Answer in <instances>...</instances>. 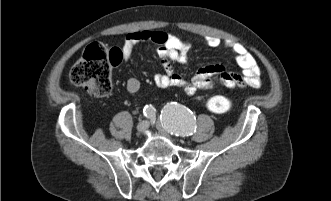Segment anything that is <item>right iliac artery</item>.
I'll list each match as a JSON object with an SVG mask.
<instances>
[{
	"mask_svg": "<svg viewBox=\"0 0 331 201\" xmlns=\"http://www.w3.org/2000/svg\"><path fill=\"white\" fill-rule=\"evenodd\" d=\"M143 112L148 119H154L156 116V109L152 105H146Z\"/></svg>",
	"mask_w": 331,
	"mask_h": 201,
	"instance_id": "obj_1",
	"label": "right iliac artery"
}]
</instances>
